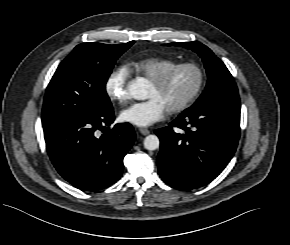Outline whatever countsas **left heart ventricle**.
Returning <instances> with one entry per match:
<instances>
[{
    "instance_id": "b2bd125f",
    "label": "left heart ventricle",
    "mask_w": 290,
    "mask_h": 245,
    "mask_svg": "<svg viewBox=\"0 0 290 245\" xmlns=\"http://www.w3.org/2000/svg\"><path fill=\"white\" fill-rule=\"evenodd\" d=\"M198 74L192 69L176 71L163 87L150 84L147 98H157L166 109L181 103L194 90Z\"/></svg>"
}]
</instances>
